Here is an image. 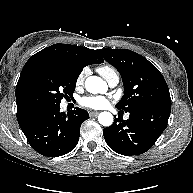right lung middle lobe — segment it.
Masks as SVG:
<instances>
[{"label": "right lung middle lobe", "instance_id": "right-lung-middle-lobe-1", "mask_svg": "<svg viewBox=\"0 0 193 193\" xmlns=\"http://www.w3.org/2000/svg\"><path fill=\"white\" fill-rule=\"evenodd\" d=\"M81 71L62 63L34 64L19 79L16 94L27 108L36 112L58 106L63 97L72 96Z\"/></svg>", "mask_w": 193, "mask_h": 193}]
</instances>
